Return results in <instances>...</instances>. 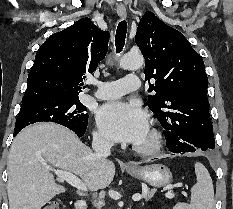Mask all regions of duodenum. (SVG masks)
<instances>
[{
    "instance_id": "1",
    "label": "duodenum",
    "mask_w": 233,
    "mask_h": 209,
    "mask_svg": "<svg viewBox=\"0 0 233 209\" xmlns=\"http://www.w3.org/2000/svg\"><path fill=\"white\" fill-rule=\"evenodd\" d=\"M87 207V204L84 200H77L75 202V208L76 209H86Z\"/></svg>"
}]
</instances>
